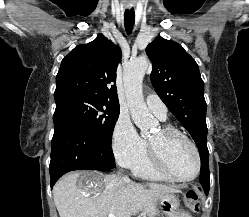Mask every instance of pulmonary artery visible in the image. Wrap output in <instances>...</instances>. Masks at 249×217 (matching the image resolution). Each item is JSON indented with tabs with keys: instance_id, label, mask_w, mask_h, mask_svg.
I'll return each instance as SVG.
<instances>
[{
	"instance_id": "pulmonary-artery-1",
	"label": "pulmonary artery",
	"mask_w": 249,
	"mask_h": 217,
	"mask_svg": "<svg viewBox=\"0 0 249 217\" xmlns=\"http://www.w3.org/2000/svg\"><path fill=\"white\" fill-rule=\"evenodd\" d=\"M146 104L151 112L161 121H166L168 118V110L166 105L156 94H149L146 97Z\"/></svg>"
}]
</instances>
